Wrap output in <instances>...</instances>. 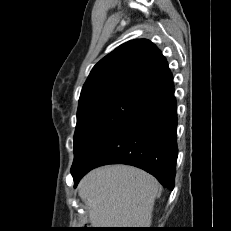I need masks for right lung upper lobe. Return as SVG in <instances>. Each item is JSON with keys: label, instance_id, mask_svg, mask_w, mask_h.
<instances>
[{"label": "right lung upper lobe", "instance_id": "right-lung-upper-lobe-1", "mask_svg": "<svg viewBox=\"0 0 231 231\" xmlns=\"http://www.w3.org/2000/svg\"><path fill=\"white\" fill-rule=\"evenodd\" d=\"M174 91L168 63L154 43L128 41L101 59L88 76L78 109L112 94H131L145 102Z\"/></svg>", "mask_w": 231, "mask_h": 231}]
</instances>
